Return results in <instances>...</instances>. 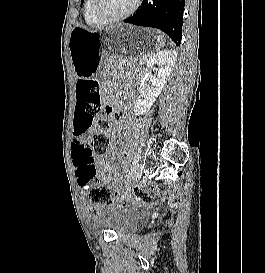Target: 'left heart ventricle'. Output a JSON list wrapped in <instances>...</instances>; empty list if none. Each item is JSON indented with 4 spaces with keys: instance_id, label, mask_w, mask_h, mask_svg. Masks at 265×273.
Masks as SVG:
<instances>
[{
    "instance_id": "b2bd125f",
    "label": "left heart ventricle",
    "mask_w": 265,
    "mask_h": 273,
    "mask_svg": "<svg viewBox=\"0 0 265 273\" xmlns=\"http://www.w3.org/2000/svg\"><path fill=\"white\" fill-rule=\"evenodd\" d=\"M135 0H102L101 10L107 16H116L128 11Z\"/></svg>"
}]
</instances>
